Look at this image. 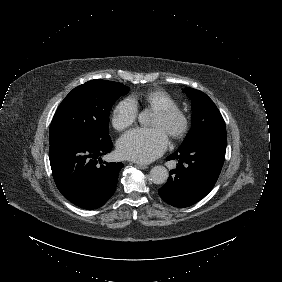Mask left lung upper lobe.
<instances>
[{"label":"left lung upper lobe","instance_id":"5c2ea615","mask_svg":"<svg viewBox=\"0 0 282 282\" xmlns=\"http://www.w3.org/2000/svg\"><path fill=\"white\" fill-rule=\"evenodd\" d=\"M192 101V127L180 147L195 138L210 132L226 131L225 122L214 102L203 92L185 88L183 90Z\"/></svg>","mask_w":282,"mask_h":282}]
</instances>
